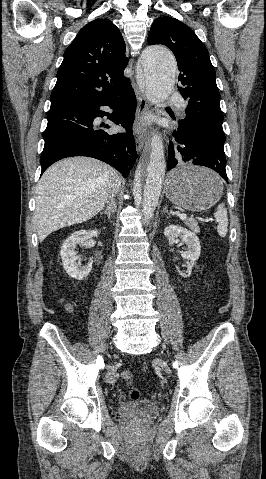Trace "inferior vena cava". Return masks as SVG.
Instances as JSON below:
<instances>
[{"mask_svg": "<svg viewBox=\"0 0 266 479\" xmlns=\"http://www.w3.org/2000/svg\"><path fill=\"white\" fill-rule=\"evenodd\" d=\"M120 186H121V179L117 175L113 184H112V187H111V192H110V200L111 201H113V198H114L115 194L118 192Z\"/></svg>", "mask_w": 266, "mask_h": 479, "instance_id": "602c4592", "label": "inferior vena cava"}]
</instances>
